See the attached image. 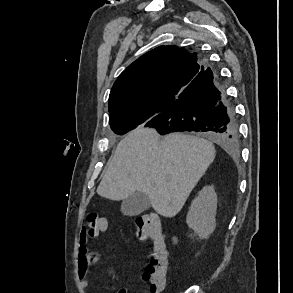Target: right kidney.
Returning a JSON list of instances; mask_svg holds the SVG:
<instances>
[{
    "instance_id": "obj_1",
    "label": "right kidney",
    "mask_w": 293,
    "mask_h": 293,
    "mask_svg": "<svg viewBox=\"0 0 293 293\" xmlns=\"http://www.w3.org/2000/svg\"><path fill=\"white\" fill-rule=\"evenodd\" d=\"M217 195L213 186L204 187L193 200L186 222L200 238H207L216 227Z\"/></svg>"
}]
</instances>
